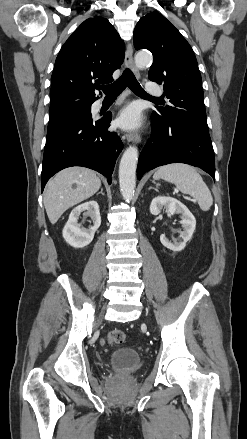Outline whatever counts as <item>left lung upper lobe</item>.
<instances>
[{"instance_id": "1", "label": "left lung upper lobe", "mask_w": 247, "mask_h": 439, "mask_svg": "<svg viewBox=\"0 0 247 439\" xmlns=\"http://www.w3.org/2000/svg\"><path fill=\"white\" fill-rule=\"evenodd\" d=\"M134 47L152 52L149 79L164 84L172 104L156 107L152 115L163 121L187 118L208 127L197 60L180 32L162 14L152 12L137 23Z\"/></svg>"}]
</instances>
